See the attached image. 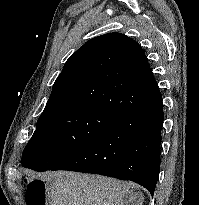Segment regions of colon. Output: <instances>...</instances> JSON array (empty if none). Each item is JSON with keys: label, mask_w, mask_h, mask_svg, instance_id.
Listing matches in <instances>:
<instances>
[{"label": "colon", "mask_w": 199, "mask_h": 205, "mask_svg": "<svg viewBox=\"0 0 199 205\" xmlns=\"http://www.w3.org/2000/svg\"><path fill=\"white\" fill-rule=\"evenodd\" d=\"M29 205H46L45 195L39 185L30 183L27 190Z\"/></svg>", "instance_id": "colon-1"}]
</instances>
